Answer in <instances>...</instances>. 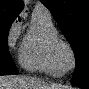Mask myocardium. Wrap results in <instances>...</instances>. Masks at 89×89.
Instances as JSON below:
<instances>
[{"mask_svg":"<svg viewBox=\"0 0 89 89\" xmlns=\"http://www.w3.org/2000/svg\"><path fill=\"white\" fill-rule=\"evenodd\" d=\"M55 52L61 67L65 71L76 67V53L68 41L59 37L55 42ZM65 54H68L70 58L66 59Z\"/></svg>","mask_w":89,"mask_h":89,"instance_id":"1","label":"myocardium"}]
</instances>
